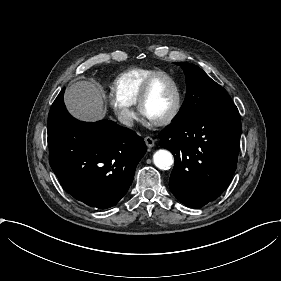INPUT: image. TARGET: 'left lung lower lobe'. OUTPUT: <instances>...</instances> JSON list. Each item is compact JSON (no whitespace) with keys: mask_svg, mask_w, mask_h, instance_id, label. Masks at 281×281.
Here are the masks:
<instances>
[{"mask_svg":"<svg viewBox=\"0 0 281 281\" xmlns=\"http://www.w3.org/2000/svg\"><path fill=\"white\" fill-rule=\"evenodd\" d=\"M240 135L236 106L173 122L160 133L175 158L169 185L181 203L200 208L221 195L237 166Z\"/></svg>","mask_w":281,"mask_h":281,"instance_id":"obj_1","label":"left lung lower lobe"}]
</instances>
